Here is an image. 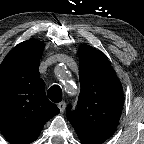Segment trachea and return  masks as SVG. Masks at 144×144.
I'll return each instance as SVG.
<instances>
[{
  "mask_svg": "<svg viewBox=\"0 0 144 144\" xmlns=\"http://www.w3.org/2000/svg\"><path fill=\"white\" fill-rule=\"evenodd\" d=\"M49 99L54 103H59L62 100V90L58 85H53L47 91Z\"/></svg>",
  "mask_w": 144,
  "mask_h": 144,
  "instance_id": "obj_1",
  "label": "trachea"
}]
</instances>
